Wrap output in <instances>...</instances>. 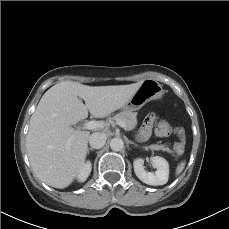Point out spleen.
<instances>
[{
    "mask_svg": "<svg viewBox=\"0 0 229 229\" xmlns=\"http://www.w3.org/2000/svg\"><path fill=\"white\" fill-rule=\"evenodd\" d=\"M185 168V161L181 162L177 167H176V175H179L183 169Z\"/></svg>",
    "mask_w": 229,
    "mask_h": 229,
    "instance_id": "spleen-1",
    "label": "spleen"
}]
</instances>
